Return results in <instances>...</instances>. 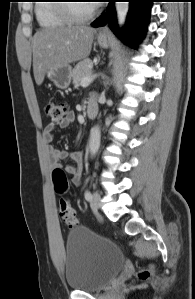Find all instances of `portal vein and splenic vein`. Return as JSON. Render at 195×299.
Returning a JSON list of instances; mask_svg holds the SVG:
<instances>
[{
  "label": "portal vein and splenic vein",
  "instance_id": "portal-vein-and-splenic-vein-1",
  "mask_svg": "<svg viewBox=\"0 0 195 299\" xmlns=\"http://www.w3.org/2000/svg\"><path fill=\"white\" fill-rule=\"evenodd\" d=\"M97 77V75H93V74H91V75H89V76H87V77H84L83 79H82V81H81V85L82 86H87V85H89L95 78Z\"/></svg>",
  "mask_w": 195,
  "mask_h": 299
}]
</instances>
